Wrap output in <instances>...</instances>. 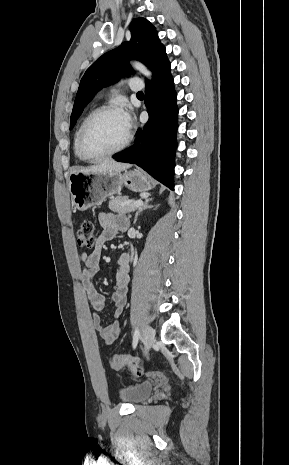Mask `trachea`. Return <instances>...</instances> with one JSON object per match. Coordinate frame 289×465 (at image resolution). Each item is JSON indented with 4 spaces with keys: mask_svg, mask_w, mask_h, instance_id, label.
I'll use <instances>...</instances> for the list:
<instances>
[{
    "mask_svg": "<svg viewBox=\"0 0 289 465\" xmlns=\"http://www.w3.org/2000/svg\"><path fill=\"white\" fill-rule=\"evenodd\" d=\"M143 95H144L143 92H138L137 93V96H143Z\"/></svg>",
    "mask_w": 289,
    "mask_h": 465,
    "instance_id": "trachea-1",
    "label": "trachea"
}]
</instances>
